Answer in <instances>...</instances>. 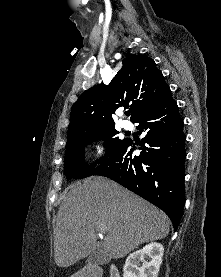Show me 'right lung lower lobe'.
I'll use <instances>...</instances> for the list:
<instances>
[{
	"label": "right lung lower lobe",
	"mask_w": 221,
	"mask_h": 277,
	"mask_svg": "<svg viewBox=\"0 0 221 277\" xmlns=\"http://www.w3.org/2000/svg\"><path fill=\"white\" fill-rule=\"evenodd\" d=\"M133 122L146 133L140 155H134L135 144L127 139L91 175L106 176L158 206L176 231L185 203L186 151L183 120L170 89Z\"/></svg>",
	"instance_id": "98d812e1"
}]
</instances>
